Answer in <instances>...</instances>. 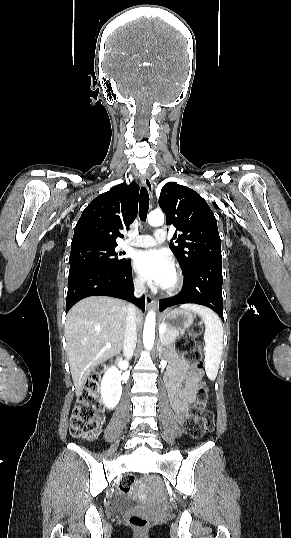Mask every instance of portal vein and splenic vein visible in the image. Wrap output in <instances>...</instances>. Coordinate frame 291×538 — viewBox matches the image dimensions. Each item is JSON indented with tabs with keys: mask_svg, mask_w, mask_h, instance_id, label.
Returning <instances> with one entry per match:
<instances>
[{
	"mask_svg": "<svg viewBox=\"0 0 291 538\" xmlns=\"http://www.w3.org/2000/svg\"><path fill=\"white\" fill-rule=\"evenodd\" d=\"M165 330H166V328H165L164 326H160V329H159V332H160V333L165 332Z\"/></svg>",
	"mask_w": 291,
	"mask_h": 538,
	"instance_id": "18ae733b",
	"label": "portal vein and splenic vein"
}]
</instances>
